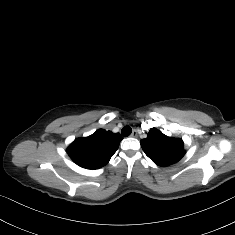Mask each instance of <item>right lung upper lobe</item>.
Wrapping results in <instances>:
<instances>
[{
  "mask_svg": "<svg viewBox=\"0 0 235 235\" xmlns=\"http://www.w3.org/2000/svg\"><path fill=\"white\" fill-rule=\"evenodd\" d=\"M121 140L119 133L99 129L88 137L75 139L67 148V153L78 166L98 169L109 162Z\"/></svg>",
  "mask_w": 235,
  "mask_h": 235,
  "instance_id": "1",
  "label": "right lung upper lobe"
}]
</instances>
